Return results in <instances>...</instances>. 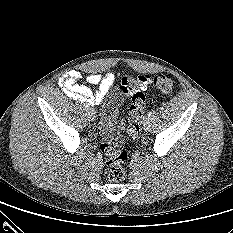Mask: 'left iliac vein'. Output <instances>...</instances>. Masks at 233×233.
<instances>
[{
	"label": "left iliac vein",
	"mask_w": 233,
	"mask_h": 233,
	"mask_svg": "<svg viewBox=\"0 0 233 233\" xmlns=\"http://www.w3.org/2000/svg\"><path fill=\"white\" fill-rule=\"evenodd\" d=\"M144 130L149 131L152 127V118L147 117L144 124H143Z\"/></svg>",
	"instance_id": "obj_1"
}]
</instances>
